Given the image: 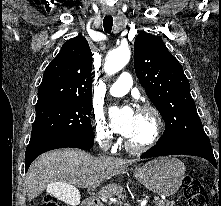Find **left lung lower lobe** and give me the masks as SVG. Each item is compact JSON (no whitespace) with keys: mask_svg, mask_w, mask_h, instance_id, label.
Segmentation results:
<instances>
[{"mask_svg":"<svg viewBox=\"0 0 221 206\" xmlns=\"http://www.w3.org/2000/svg\"><path fill=\"white\" fill-rule=\"evenodd\" d=\"M193 155L199 156L210 161L215 167L217 163L213 155L210 141H185L175 143L156 144L148 151L143 153L140 158H151L163 155ZM219 170H221V160L219 159Z\"/></svg>","mask_w":221,"mask_h":206,"instance_id":"0a47b994","label":"left lung lower lobe"}]
</instances>
